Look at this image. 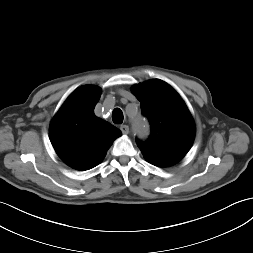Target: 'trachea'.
I'll use <instances>...</instances> for the list:
<instances>
[{
    "instance_id": "3493384b",
    "label": "trachea",
    "mask_w": 253,
    "mask_h": 253,
    "mask_svg": "<svg viewBox=\"0 0 253 253\" xmlns=\"http://www.w3.org/2000/svg\"><path fill=\"white\" fill-rule=\"evenodd\" d=\"M123 112L119 108H115L112 112V120L115 124H122L123 122Z\"/></svg>"
}]
</instances>
